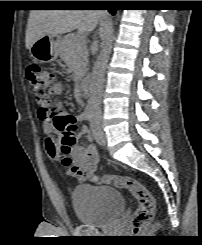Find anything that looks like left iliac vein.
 Wrapping results in <instances>:
<instances>
[{
  "instance_id": "4c4485c4",
  "label": "left iliac vein",
  "mask_w": 202,
  "mask_h": 245,
  "mask_svg": "<svg viewBox=\"0 0 202 245\" xmlns=\"http://www.w3.org/2000/svg\"><path fill=\"white\" fill-rule=\"evenodd\" d=\"M91 129L95 141L100 145H104L106 142V133L103 130V125L99 118L95 117L91 120Z\"/></svg>"
}]
</instances>
